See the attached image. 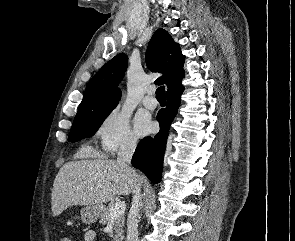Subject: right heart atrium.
<instances>
[{"mask_svg":"<svg viewBox=\"0 0 295 241\" xmlns=\"http://www.w3.org/2000/svg\"><path fill=\"white\" fill-rule=\"evenodd\" d=\"M94 134L102 152L106 155L133 148L137 144L128 116L119 108L110 110L100 119Z\"/></svg>","mask_w":295,"mask_h":241,"instance_id":"d8ad5b80","label":"right heart atrium"}]
</instances>
